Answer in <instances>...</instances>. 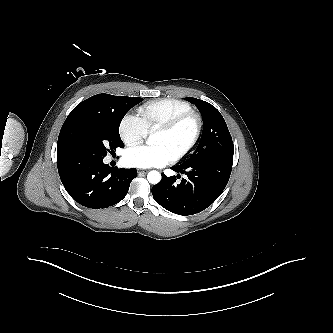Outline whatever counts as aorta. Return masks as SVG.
<instances>
[{
    "label": "aorta",
    "instance_id": "762f6f07",
    "mask_svg": "<svg viewBox=\"0 0 333 333\" xmlns=\"http://www.w3.org/2000/svg\"><path fill=\"white\" fill-rule=\"evenodd\" d=\"M149 144H153V136L151 135L148 140ZM147 180L151 184H158L161 180V174L158 171H150L147 175Z\"/></svg>",
    "mask_w": 333,
    "mask_h": 333
}]
</instances>
